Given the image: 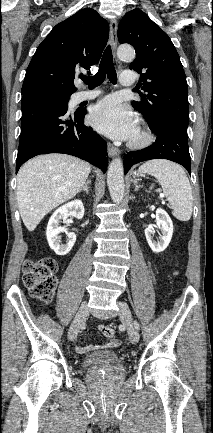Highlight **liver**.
<instances>
[{"mask_svg": "<svg viewBox=\"0 0 213 433\" xmlns=\"http://www.w3.org/2000/svg\"><path fill=\"white\" fill-rule=\"evenodd\" d=\"M91 167L66 154H46L26 162L17 175V202L24 225L33 231L44 216L82 189Z\"/></svg>", "mask_w": 213, "mask_h": 433, "instance_id": "6515ba94", "label": "liver"}]
</instances>
